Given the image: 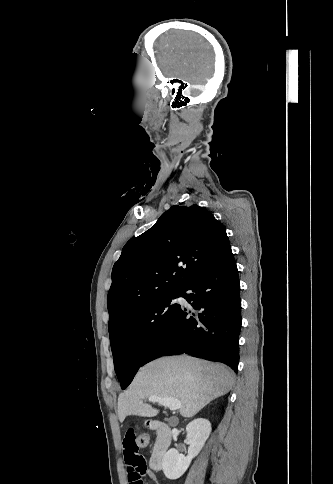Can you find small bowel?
Wrapping results in <instances>:
<instances>
[{"label": "small bowel", "mask_w": 333, "mask_h": 484, "mask_svg": "<svg viewBox=\"0 0 333 484\" xmlns=\"http://www.w3.org/2000/svg\"><path fill=\"white\" fill-rule=\"evenodd\" d=\"M139 449L133 430L128 428L123 439V452L129 484H144L142 480L144 476L156 480L155 474L148 468Z\"/></svg>", "instance_id": "c3829d8e"}]
</instances>
